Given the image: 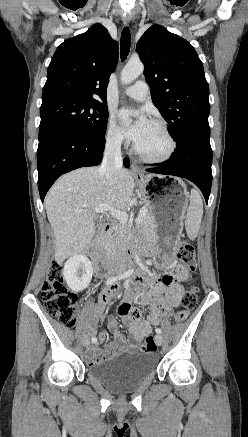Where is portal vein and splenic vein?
Wrapping results in <instances>:
<instances>
[{
    "mask_svg": "<svg viewBox=\"0 0 248 437\" xmlns=\"http://www.w3.org/2000/svg\"><path fill=\"white\" fill-rule=\"evenodd\" d=\"M109 211L111 216L115 219L119 220L121 223L126 224L128 221V214L125 212H122L120 210L114 209L111 206L108 205H100L94 209L95 213H103ZM148 212L146 207H142L140 210V214L136 219V222L139 223L142 221L143 216L146 215Z\"/></svg>",
    "mask_w": 248,
    "mask_h": 437,
    "instance_id": "obj_1",
    "label": "portal vein and splenic vein"
}]
</instances>
